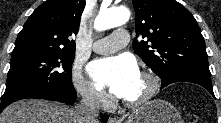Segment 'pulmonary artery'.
<instances>
[{
    "mask_svg": "<svg viewBox=\"0 0 221 123\" xmlns=\"http://www.w3.org/2000/svg\"><path fill=\"white\" fill-rule=\"evenodd\" d=\"M127 42V31L124 29H117L111 35L95 41L92 48L97 53L108 54L121 49Z\"/></svg>",
    "mask_w": 221,
    "mask_h": 123,
    "instance_id": "pulmonary-artery-1",
    "label": "pulmonary artery"
}]
</instances>
